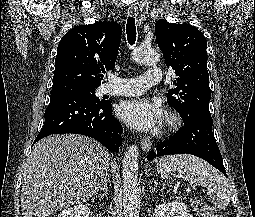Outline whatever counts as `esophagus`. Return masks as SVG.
<instances>
[{"mask_svg": "<svg viewBox=\"0 0 255 217\" xmlns=\"http://www.w3.org/2000/svg\"><path fill=\"white\" fill-rule=\"evenodd\" d=\"M128 15L131 17H135L138 21V9L135 4L131 5L128 8ZM141 147L143 151H149L152 146L151 138L143 136L140 141Z\"/></svg>", "mask_w": 255, "mask_h": 217, "instance_id": "1", "label": "esophagus"}]
</instances>
